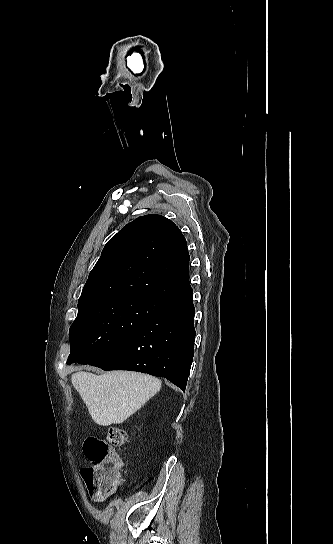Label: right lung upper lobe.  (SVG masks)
Here are the masks:
<instances>
[{
  "instance_id": "right-lung-upper-lobe-1",
  "label": "right lung upper lobe",
  "mask_w": 333,
  "mask_h": 544,
  "mask_svg": "<svg viewBox=\"0 0 333 544\" xmlns=\"http://www.w3.org/2000/svg\"><path fill=\"white\" fill-rule=\"evenodd\" d=\"M186 240L169 219L138 217L105 245L79 302L121 295L171 301L192 292Z\"/></svg>"
}]
</instances>
